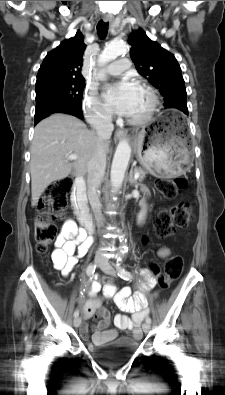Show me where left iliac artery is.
I'll list each match as a JSON object with an SVG mask.
<instances>
[{
	"label": "left iliac artery",
	"instance_id": "1",
	"mask_svg": "<svg viewBox=\"0 0 225 395\" xmlns=\"http://www.w3.org/2000/svg\"><path fill=\"white\" fill-rule=\"evenodd\" d=\"M120 262H121V259H118L117 260V265H116V268L118 270V275L124 280H131L133 278L132 274L129 271L121 268ZM146 322L150 324L151 323V318L150 317H146Z\"/></svg>",
	"mask_w": 225,
	"mask_h": 395
}]
</instances>
